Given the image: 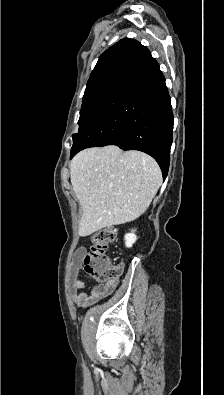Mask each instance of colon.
<instances>
[{
	"label": "colon",
	"mask_w": 224,
	"mask_h": 395,
	"mask_svg": "<svg viewBox=\"0 0 224 395\" xmlns=\"http://www.w3.org/2000/svg\"><path fill=\"white\" fill-rule=\"evenodd\" d=\"M116 234L115 228L108 227L94 232L90 237L91 248L83 259L84 270L88 276L99 283H111L120 275L119 266L112 264L106 254Z\"/></svg>",
	"instance_id": "colon-1"
}]
</instances>
